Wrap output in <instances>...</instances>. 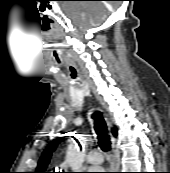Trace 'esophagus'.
<instances>
[{
	"instance_id": "1",
	"label": "esophagus",
	"mask_w": 170,
	"mask_h": 173,
	"mask_svg": "<svg viewBox=\"0 0 170 173\" xmlns=\"http://www.w3.org/2000/svg\"><path fill=\"white\" fill-rule=\"evenodd\" d=\"M108 126H109V127H111V124H110V122H109V121H108Z\"/></svg>"
}]
</instances>
